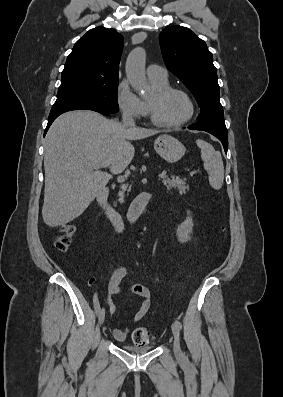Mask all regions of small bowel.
Instances as JSON below:
<instances>
[{"mask_svg":"<svg viewBox=\"0 0 283 397\" xmlns=\"http://www.w3.org/2000/svg\"><path fill=\"white\" fill-rule=\"evenodd\" d=\"M127 274V268L124 266L118 267L111 275L109 280L107 291L109 295L119 293L122 290V279ZM94 281V280H92ZM128 291L141 298L137 305L136 312L133 314L131 324H135L140 321L150 310L151 307V290L149 287L138 283H132L127 287ZM108 314L111 316L115 312V305L110 296L107 298ZM129 328L114 329L113 336L117 341H124L128 335Z\"/></svg>","mask_w":283,"mask_h":397,"instance_id":"1","label":"small bowel"}]
</instances>
